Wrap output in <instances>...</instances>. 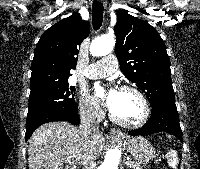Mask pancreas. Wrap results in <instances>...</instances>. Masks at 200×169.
Segmentation results:
<instances>
[{
  "label": "pancreas",
  "instance_id": "1",
  "mask_svg": "<svg viewBox=\"0 0 200 169\" xmlns=\"http://www.w3.org/2000/svg\"><path fill=\"white\" fill-rule=\"evenodd\" d=\"M128 165L132 169H142V166L138 162L130 161Z\"/></svg>",
  "mask_w": 200,
  "mask_h": 169
}]
</instances>
